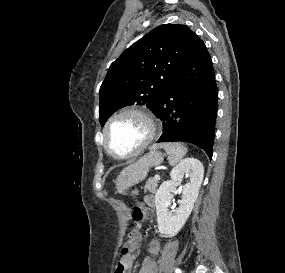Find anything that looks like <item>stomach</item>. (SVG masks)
Listing matches in <instances>:
<instances>
[{
  "instance_id": "obj_1",
  "label": "stomach",
  "mask_w": 285,
  "mask_h": 273,
  "mask_svg": "<svg viewBox=\"0 0 285 273\" xmlns=\"http://www.w3.org/2000/svg\"><path fill=\"white\" fill-rule=\"evenodd\" d=\"M164 154L153 149L136 162L122 170L117 177L115 184L120 191L124 192L135 184L143 181L151 167L158 166L163 162Z\"/></svg>"
}]
</instances>
